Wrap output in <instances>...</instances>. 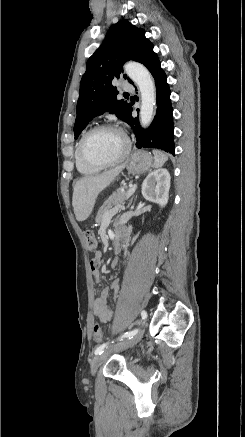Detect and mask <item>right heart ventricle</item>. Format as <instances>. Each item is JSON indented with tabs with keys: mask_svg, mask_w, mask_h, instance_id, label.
Listing matches in <instances>:
<instances>
[{
	"mask_svg": "<svg viewBox=\"0 0 245 437\" xmlns=\"http://www.w3.org/2000/svg\"><path fill=\"white\" fill-rule=\"evenodd\" d=\"M74 161L77 171L82 175H93L100 171V168L90 166L83 161L79 153V143L75 148Z\"/></svg>",
	"mask_w": 245,
	"mask_h": 437,
	"instance_id": "obj_1",
	"label": "right heart ventricle"
}]
</instances>
